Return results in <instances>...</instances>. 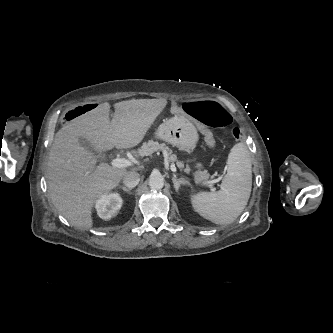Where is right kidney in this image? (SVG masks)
<instances>
[{
	"mask_svg": "<svg viewBox=\"0 0 333 333\" xmlns=\"http://www.w3.org/2000/svg\"><path fill=\"white\" fill-rule=\"evenodd\" d=\"M123 200L118 193L102 195L97 201L95 208L98 216L103 220H109L121 208Z\"/></svg>",
	"mask_w": 333,
	"mask_h": 333,
	"instance_id": "1",
	"label": "right kidney"
}]
</instances>
